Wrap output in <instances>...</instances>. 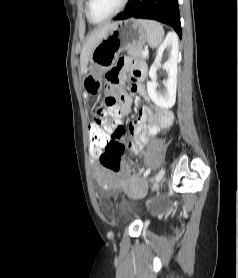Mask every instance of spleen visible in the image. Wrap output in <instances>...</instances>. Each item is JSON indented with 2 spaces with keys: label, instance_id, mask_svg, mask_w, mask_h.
Wrapping results in <instances>:
<instances>
[{
  "label": "spleen",
  "instance_id": "spleen-1",
  "mask_svg": "<svg viewBox=\"0 0 238 278\" xmlns=\"http://www.w3.org/2000/svg\"><path fill=\"white\" fill-rule=\"evenodd\" d=\"M141 24L145 27L147 31V41L152 47H158L164 37V30L160 23L152 20H140Z\"/></svg>",
  "mask_w": 238,
  "mask_h": 278
}]
</instances>
